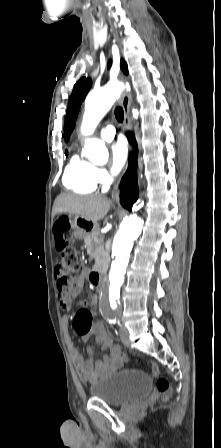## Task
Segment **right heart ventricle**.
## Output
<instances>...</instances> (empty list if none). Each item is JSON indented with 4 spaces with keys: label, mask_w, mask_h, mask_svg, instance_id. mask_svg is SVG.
Returning a JSON list of instances; mask_svg holds the SVG:
<instances>
[{
    "label": "right heart ventricle",
    "mask_w": 221,
    "mask_h": 448,
    "mask_svg": "<svg viewBox=\"0 0 221 448\" xmlns=\"http://www.w3.org/2000/svg\"><path fill=\"white\" fill-rule=\"evenodd\" d=\"M95 169L91 163L74 155L65 169L63 184L76 193H93L98 189Z\"/></svg>",
    "instance_id": "right-heart-ventricle-1"
}]
</instances>
